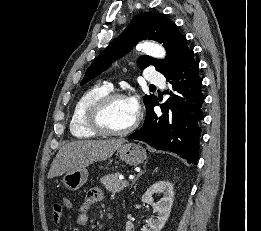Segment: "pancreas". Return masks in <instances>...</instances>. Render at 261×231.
Listing matches in <instances>:
<instances>
[{
	"label": "pancreas",
	"mask_w": 261,
	"mask_h": 231,
	"mask_svg": "<svg viewBox=\"0 0 261 231\" xmlns=\"http://www.w3.org/2000/svg\"><path fill=\"white\" fill-rule=\"evenodd\" d=\"M120 173L108 174L100 178V182L105 188L112 194L121 192L127 185L123 184V181L119 179Z\"/></svg>",
	"instance_id": "pancreas-1"
}]
</instances>
